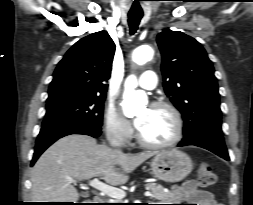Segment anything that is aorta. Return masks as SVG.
<instances>
[{
    "label": "aorta",
    "mask_w": 253,
    "mask_h": 205,
    "mask_svg": "<svg viewBox=\"0 0 253 205\" xmlns=\"http://www.w3.org/2000/svg\"><path fill=\"white\" fill-rule=\"evenodd\" d=\"M154 51L148 45L137 47L132 54V59L138 65H144L153 57ZM124 100L122 102L123 113L132 117L142 111L147 105V96L143 91H136L137 79L134 75L129 76L124 84Z\"/></svg>",
    "instance_id": "1"
}]
</instances>
